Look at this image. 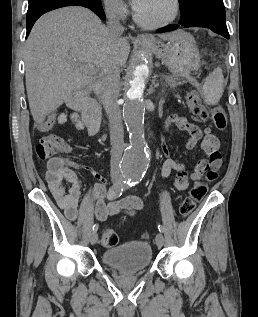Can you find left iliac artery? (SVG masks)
Masks as SVG:
<instances>
[{"label":"left iliac artery","instance_id":"obj_1","mask_svg":"<svg viewBox=\"0 0 258 317\" xmlns=\"http://www.w3.org/2000/svg\"><path fill=\"white\" fill-rule=\"evenodd\" d=\"M141 180H142V177H132V178H130V182H131L132 186L138 185L141 182ZM158 230H159L160 233H164V228L159 223H158Z\"/></svg>","mask_w":258,"mask_h":317}]
</instances>
